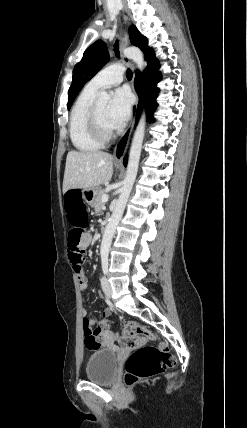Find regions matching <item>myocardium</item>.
I'll list each match as a JSON object with an SVG mask.
<instances>
[{
    "label": "myocardium",
    "instance_id": "myocardium-1",
    "mask_svg": "<svg viewBox=\"0 0 247 428\" xmlns=\"http://www.w3.org/2000/svg\"><path fill=\"white\" fill-rule=\"evenodd\" d=\"M88 126L93 137L102 144L111 141L115 137V133L113 131L105 132L101 128L97 115L96 105H93L90 110L88 117Z\"/></svg>",
    "mask_w": 247,
    "mask_h": 428
}]
</instances>
